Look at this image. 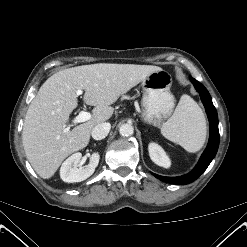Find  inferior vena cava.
Wrapping results in <instances>:
<instances>
[{
	"label": "inferior vena cava",
	"mask_w": 247,
	"mask_h": 247,
	"mask_svg": "<svg viewBox=\"0 0 247 247\" xmlns=\"http://www.w3.org/2000/svg\"><path fill=\"white\" fill-rule=\"evenodd\" d=\"M111 129V125L109 123H100V124H97L93 129H92V137L93 139L95 140H102L104 139L109 131Z\"/></svg>",
	"instance_id": "obj_1"
}]
</instances>
